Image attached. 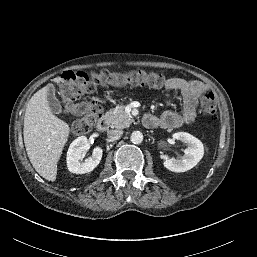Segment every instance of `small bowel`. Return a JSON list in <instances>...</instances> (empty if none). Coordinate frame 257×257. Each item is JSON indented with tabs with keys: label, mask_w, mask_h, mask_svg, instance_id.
<instances>
[{
	"label": "small bowel",
	"mask_w": 257,
	"mask_h": 257,
	"mask_svg": "<svg viewBox=\"0 0 257 257\" xmlns=\"http://www.w3.org/2000/svg\"><path fill=\"white\" fill-rule=\"evenodd\" d=\"M164 87L179 91L182 96L183 106L180 112L167 110L160 116L147 115L145 125L148 127L160 126L166 129H174L191 124L197 116L198 98L206 90L205 85L199 81H188L182 78H169Z\"/></svg>",
	"instance_id": "1"
}]
</instances>
